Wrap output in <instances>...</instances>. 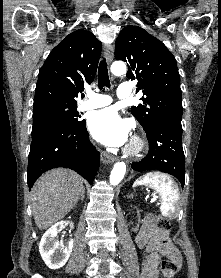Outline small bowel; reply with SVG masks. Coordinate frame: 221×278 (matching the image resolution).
<instances>
[{
    "label": "small bowel",
    "mask_w": 221,
    "mask_h": 278,
    "mask_svg": "<svg viewBox=\"0 0 221 278\" xmlns=\"http://www.w3.org/2000/svg\"><path fill=\"white\" fill-rule=\"evenodd\" d=\"M136 244L146 251V257L142 263L141 278H159L157 267L161 257L174 260L178 266L181 264L180 253L168 240V233L155 226L151 215L143 219L136 236Z\"/></svg>",
    "instance_id": "c3829d8e"
}]
</instances>
